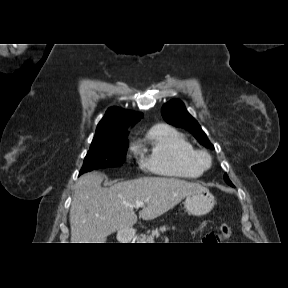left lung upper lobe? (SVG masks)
<instances>
[{
  "mask_svg": "<svg viewBox=\"0 0 288 288\" xmlns=\"http://www.w3.org/2000/svg\"><path fill=\"white\" fill-rule=\"evenodd\" d=\"M161 113L167 123L188 130L202 145L214 149L198 122L187 112L180 100H171L166 103L162 107ZM224 179L229 185L232 184L227 174L224 175Z\"/></svg>",
  "mask_w": 288,
  "mask_h": 288,
  "instance_id": "obj_1",
  "label": "left lung upper lobe"
}]
</instances>
